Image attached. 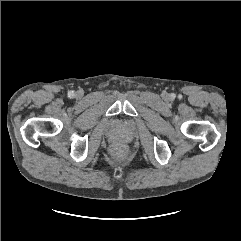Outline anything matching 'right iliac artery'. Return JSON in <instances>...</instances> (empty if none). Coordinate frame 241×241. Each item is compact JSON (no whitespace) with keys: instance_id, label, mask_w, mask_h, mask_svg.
Masks as SVG:
<instances>
[{"instance_id":"1","label":"right iliac artery","mask_w":241,"mask_h":241,"mask_svg":"<svg viewBox=\"0 0 241 241\" xmlns=\"http://www.w3.org/2000/svg\"><path fill=\"white\" fill-rule=\"evenodd\" d=\"M68 96H69V97H73V96H74V92H73V91H70V92L68 93Z\"/></svg>"}]
</instances>
